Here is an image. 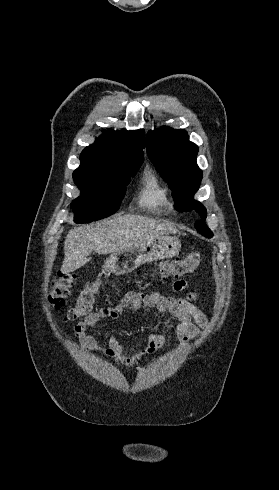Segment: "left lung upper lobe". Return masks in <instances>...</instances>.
Listing matches in <instances>:
<instances>
[{
    "instance_id": "obj_1",
    "label": "left lung upper lobe",
    "mask_w": 279,
    "mask_h": 490,
    "mask_svg": "<svg viewBox=\"0 0 279 490\" xmlns=\"http://www.w3.org/2000/svg\"><path fill=\"white\" fill-rule=\"evenodd\" d=\"M147 154L173 190L176 207L180 211L195 209L205 221L206 209L193 195L199 189L202 171L197 166L198 147L189 141L185 130L162 127L147 133ZM195 228L205 237H213L204 222Z\"/></svg>"
}]
</instances>
